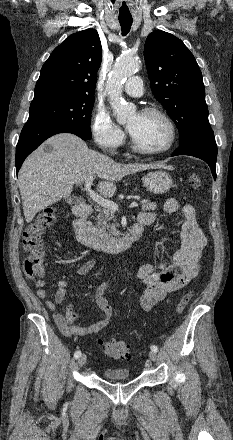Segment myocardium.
<instances>
[{
    "label": "myocardium",
    "mask_w": 233,
    "mask_h": 440,
    "mask_svg": "<svg viewBox=\"0 0 233 440\" xmlns=\"http://www.w3.org/2000/svg\"><path fill=\"white\" fill-rule=\"evenodd\" d=\"M139 113L140 114H152V115H157V116L161 117L165 121V123L167 124V126L169 128L170 137H169L168 143L164 147L157 149V150H148V149L141 147L129 131L131 148L136 153L146 155V156H157V155H161V154H164L167 151H169L174 146V144L176 142V138H177L176 127H175V124L173 123L172 119L170 118V116L165 111H163L162 109L157 108V107H145L142 110H140Z\"/></svg>",
    "instance_id": "myocardium-1"
}]
</instances>
